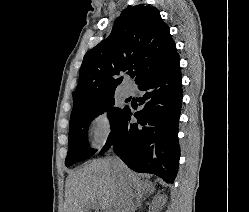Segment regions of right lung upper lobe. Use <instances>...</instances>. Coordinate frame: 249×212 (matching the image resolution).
Here are the masks:
<instances>
[{
    "label": "right lung upper lobe",
    "instance_id": "right-lung-upper-lobe-1",
    "mask_svg": "<svg viewBox=\"0 0 249 212\" xmlns=\"http://www.w3.org/2000/svg\"><path fill=\"white\" fill-rule=\"evenodd\" d=\"M177 55L169 26L155 7H128L115 20L110 35L88 51L73 94V109L114 95L123 77L135 70L137 85Z\"/></svg>",
    "mask_w": 249,
    "mask_h": 212
}]
</instances>
